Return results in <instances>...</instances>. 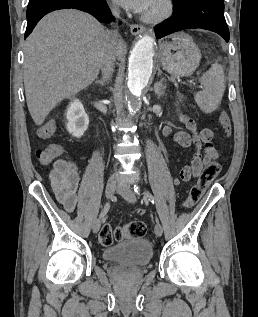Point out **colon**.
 Returning <instances> with one entry per match:
<instances>
[{
    "label": "colon",
    "mask_w": 258,
    "mask_h": 317,
    "mask_svg": "<svg viewBox=\"0 0 258 317\" xmlns=\"http://www.w3.org/2000/svg\"><path fill=\"white\" fill-rule=\"evenodd\" d=\"M219 124L226 135L231 134L232 126L227 113L222 112L219 116ZM63 149L58 144H52L37 151V158L42 163H49L58 158ZM221 164L218 161H211L202 170L199 179L189 191L188 197L184 201V207L191 208L202 198L205 191L219 175ZM146 233V226L143 222L132 221L122 227L113 228L110 224H104L99 233V241L104 246H110L115 241L123 238L139 239Z\"/></svg>",
    "instance_id": "obj_1"
}]
</instances>
